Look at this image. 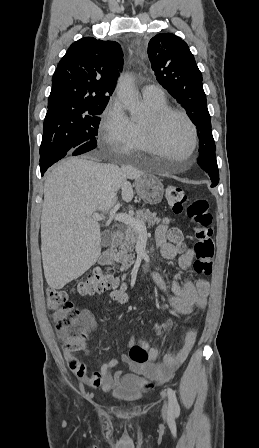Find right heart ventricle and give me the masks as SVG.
Returning a JSON list of instances; mask_svg holds the SVG:
<instances>
[{
	"label": "right heart ventricle",
	"instance_id": "1",
	"mask_svg": "<svg viewBox=\"0 0 259 448\" xmlns=\"http://www.w3.org/2000/svg\"><path fill=\"white\" fill-rule=\"evenodd\" d=\"M145 103L148 105L149 109L151 111H158L163 108L168 107L166 99L162 100H150L144 98ZM129 121L131 123L133 133H134V147L133 152L131 155L125 160L130 163H136L138 159V155L141 151L145 152V150H148V145L144 136L143 131V122L144 121H136L134 119H130Z\"/></svg>",
	"mask_w": 259,
	"mask_h": 448
}]
</instances>
